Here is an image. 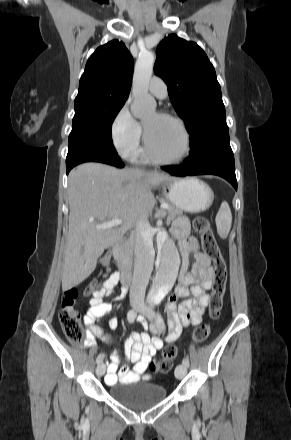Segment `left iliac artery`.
<instances>
[{
  "label": "left iliac artery",
  "mask_w": 291,
  "mask_h": 440,
  "mask_svg": "<svg viewBox=\"0 0 291 440\" xmlns=\"http://www.w3.org/2000/svg\"><path fill=\"white\" fill-rule=\"evenodd\" d=\"M157 323H158L159 327L164 328V323H163V321H162V319H161V317L159 315H158V322ZM182 364L188 367L189 366V360L187 358H184L183 361H182Z\"/></svg>",
  "instance_id": "44dca946"
}]
</instances>
